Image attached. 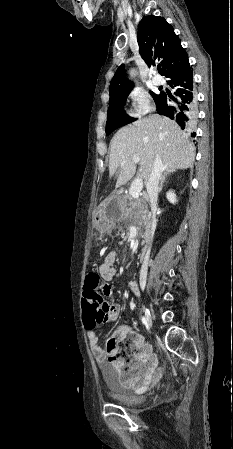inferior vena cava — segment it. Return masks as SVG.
Listing matches in <instances>:
<instances>
[{"label":"inferior vena cava","mask_w":233,"mask_h":449,"mask_svg":"<svg viewBox=\"0 0 233 449\" xmlns=\"http://www.w3.org/2000/svg\"><path fill=\"white\" fill-rule=\"evenodd\" d=\"M164 171V164L159 155L155 157L153 167L146 182V189L148 193V199L151 207V224L149 227L148 244L150 243L151 237L154 233L156 227V207L159 192V181L161 179L162 172ZM147 276V265L144 263L140 271V279H146Z\"/></svg>","instance_id":"obj_1"}]
</instances>
